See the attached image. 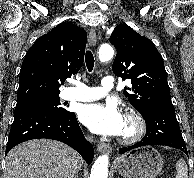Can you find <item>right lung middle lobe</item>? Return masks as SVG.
<instances>
[{
    "mask_svg": "<svg viewBox=\"0 0 194 178\" xmlns=\"http://www.w3.org/2000/svg\"><path fill=\"white\" fill-rule=\"evenodd\" d=\"M24 108H45L53 112H65L66 109L60 106V99L58 96L38 98L22 102H17L15 110Z\"/></svg>",
    "mask_w": 194,
    "mask_h": 178,
    "instance_id": "dd1d6c3e",
    "label": "right lung middle lobe"
}]
</instances>
